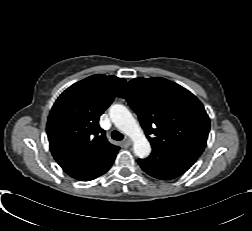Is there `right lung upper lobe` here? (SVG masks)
Returning <instances> with one entry per match:
<instances>
[{
	"mask_svg": "<svg viewBox=\"0 0 252 231\" xmlns=\"http://www.w3.org/2000/svg\"><path fill=\"white\" fill-rule=\"evenodd\" d=\"M125 82L93 75L67 88L54 103L47 121L50 150L72 178L93 180L113 164L119 147L107 141L98 121Z\"/></svg>",
	"mask_w": 252,
	"mask_h": 231,
	"instance_id": "obj_1",
	"label": "right lung upper lobe"
}]
</instances>
